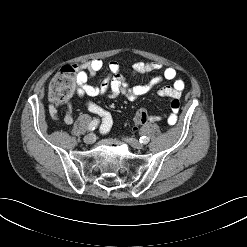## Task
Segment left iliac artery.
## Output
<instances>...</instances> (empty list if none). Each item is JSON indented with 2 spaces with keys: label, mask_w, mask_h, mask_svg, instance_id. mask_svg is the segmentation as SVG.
Here are the masks:
<instances>
[{
  "label": "left iliac artery",
  "mask_w": 247,
  "mask_h": 247,
  "mask_svg": "<svg viewBox=\"0 0 247 247\" xmlns=\"http://www.w3.org/2000/svg\"><path fill=\"white\" fill-rule=\"evenodd\" d=\"M149 137H146V136H142L140 138V143H143V144H147L149 142Z\"/></svg>",
  "instance_id": "1"
}]
</instances>
